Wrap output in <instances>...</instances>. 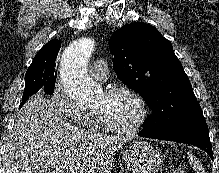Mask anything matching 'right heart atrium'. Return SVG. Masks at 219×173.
Instances as JSON below:
<instances>
[{
	"label": "right heart atrium",
	"mask_w": 219,
	"mask_h": 173,
	"mask_svg": "<svg viewBox=\"0 0 219 173\" xmlns=\"http://www.w3.org/2000/svg\"><path fill=\"white\" fill-rule=\"evenodd\" d=\"M51 103L57 111L77 125L87 128L94 125V115L79 107L64 91L60 83L53 88Z\"/></svg>",
	"instance_id": "obj_1"
}]
</instances>
